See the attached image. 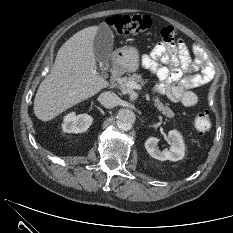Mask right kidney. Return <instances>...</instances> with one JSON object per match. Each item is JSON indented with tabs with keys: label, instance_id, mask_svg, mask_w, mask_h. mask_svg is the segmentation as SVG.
I'll return each instance as SVG.
<instances>
[{
	"label": "right kidney",
	"instance_id": "right-kidney-1",
	"mask_svg": "<svg viewBox=\"0 0 233 233\" xmlns=\"http://www.w3.org/2000/svg\"><path fill=\"white\" fill-rule=\"evenodd\" d=\"M92 121L93 118L88 114L76 115L71 112L64 117L62 128L66 133H82L88 130Z\"/></svg>",
	"mask_w": 233,
	"mask_h": 233
}]
</instances>
